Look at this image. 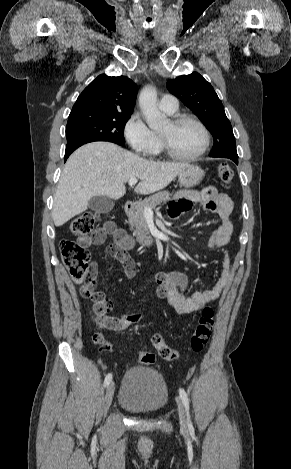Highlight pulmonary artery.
I'll return each mask as SVG.
<instances>
[{"mask_svg": "<svg viewBox=\"0 0 291 469\" xmlns=\"http://www.w3.org/2000/svg\"><path fill=\"white\" fill-rule=\"evenodd\" d=\"M159 108L167 113H174L178 109V100L173 95L165 94L159 101Z\"/></svg>", "mask_w": 291, "mask_h": 469, "instance_id": "pulmonary-artery-1", "label": "pulmonary artery"}]
</instances>
